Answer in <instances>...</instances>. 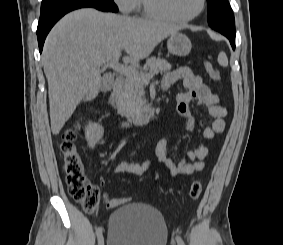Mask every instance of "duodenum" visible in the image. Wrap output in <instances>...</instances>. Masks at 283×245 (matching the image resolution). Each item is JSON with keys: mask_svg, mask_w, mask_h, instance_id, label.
<instances>
[{"mask_svg": "<svg viewBox=\"0 0 283 245\" xmlns=\"http://www.w3.org/2000/svg\"><path fill=\"white\" fill-rule=\"evenodd\" d=\"M124 83L125 81L122 77L117 78L113 85L112 92L110 95V105L114 110V116L117 124L120 127L127 128L132 126H142L149 123L155 117L154 111H147L140 115L125 120L122 118L119 108H120V99H121Z\"/></svg>", "mask_w": 283, "mask_h": 245, "instance_id": "410a0bca", "label": "duodenum"}]
</instances>
